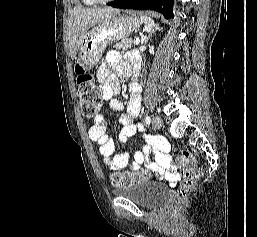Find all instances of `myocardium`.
I'll list each match as a JSON object with an SVG mask.
<instances>
[{"label":"myocardium","instance_id":"f54148a6","mask_svg":"<svg viewBox=\"0 0 257 237\" xmlns=\"http://www.w3.org/2000/svg\"><path fill=\"white\" fill-rule=\"evenodd\" d=\"M97 2H100V3H105V2H110V1H113V0H96Z\"/></svg>","mask_w":257,"mask_h":237}]
</instances>
